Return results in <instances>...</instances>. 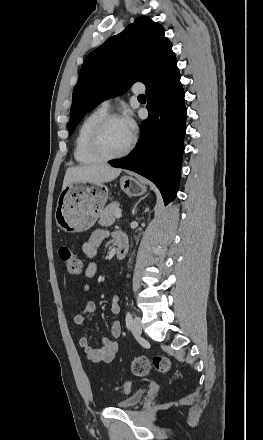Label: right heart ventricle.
<instances>
[{"instance_id":"right-heart-ventricle-1","label":"right heart ventricle","mask_w":263,"mask_h":440,"mask_svg":"<svg viewBox=\"0 0 263 440\" xmlns=\"http://www.w3.org/2000/svg\"><path fill=\"white\" fill-rule=\"evenodd\" d=\"M107 114V110L98 107L92 110L80 123L74 140V158L80 164H92L100 161L89 149V136L95 123Z\"/></svg>"}]
</instances>
